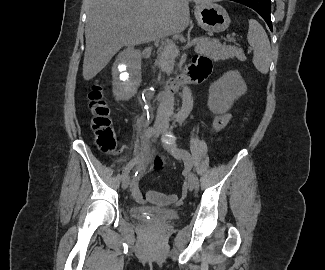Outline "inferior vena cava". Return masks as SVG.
<instances>
[{"instance_id": "602c4592", "label": "inferior vena cava", "mask_w": 325, "mask_h": 270, "mask_svg": "<svg viewBox=\"0 0 325 270\" xmlns=\"http://www.w3.org/2000/svg\"><path fill=\"white\" fill-rule=\"evenodd\" d=\"M174 96L170 92H166L162 101L160 102L157 117L158 121L166 122L168 117L173 113Z\"/></svg>"}]
</instances>
